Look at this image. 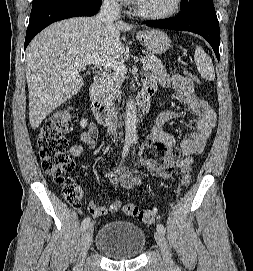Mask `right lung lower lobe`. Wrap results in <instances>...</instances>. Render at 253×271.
<instances>
[{
    "label": "right lung lower lobe",
    "instance_id": "obj_1",
    "mask_svg": "<svg viewBox=\"0 0 253 271\" xmlns=\"http://www.w3.org/2000/svg\"><path fill=\"white\" fill-rule=\"evenodd\" d=\"M100 6L101 0H66L34 10L30 15L24 48L51 23L75 16H93Z\"/></svg>",
    "mask_w": 253,
    "mask_h": 271
}]
</instances>
